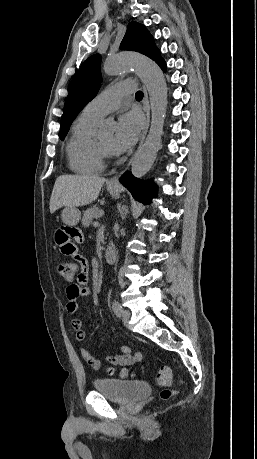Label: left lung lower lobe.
Wrapping results in <instances>:
<instances>
[{
	"instance_id": "1",
	"label": "left lung lower lobe",
	"mask_w": 257,
	"mask_h": 459,
	"mask_svg": "<svg viewBox=\"0 0 257 459\" xmlns=\"http://www.w3.org/2000/svg\"><path fill=\"white\" fill-rule=\"evenodd\" d=\"M163 71L166 70V63L161 59L157 63ZM120 182L133 195V197L144 204L151 203V199L156 195V186L152 181H141L135 178L130 172L121 176Z\"/></svg>"
}]
</instances>
